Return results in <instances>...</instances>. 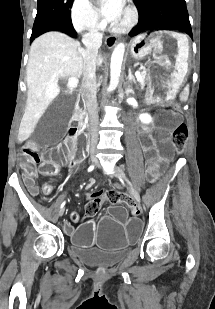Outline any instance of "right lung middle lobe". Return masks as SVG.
<instances>
[{"label":"right lung middle lobe","instance_id":"dd1d6c3e","mask_svg":"<svg viewBox=\"0 0 215 309\" xmlns=\"http://www.w3.org/2000/svg\"><path fill=\"white\" fill-rule=\"evenodd\" d=\"M74 0H38L37 15L33 25L31 41L44 32L59 30L76 35L71 21Z\"/></svg>","mask_w":215,"mask_h":309}]
</instances>
